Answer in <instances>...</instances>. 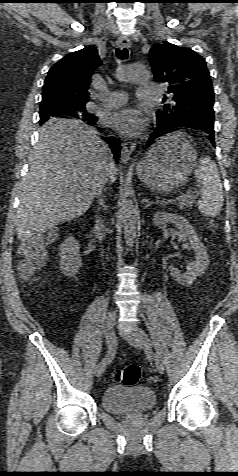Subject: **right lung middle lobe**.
<instances>
[{
    "label": "right lung middle lobe",
    "instance_id": "obj_1",
    "mask_svg": "<svg viewBox=\"0 0 238 476\" xmlns=\"http://www.w3.org/2000/svg\"><path fill=\"white\" fill-rule=\"evenodd\" d=\"M75 117L86 122H95L93 114L86 111L85 105H70L56 101H45L40 107V123L51 117Z\"/></svg>",
    "mask_w": 238,
    "mask_h": 476
}]
</instances>
